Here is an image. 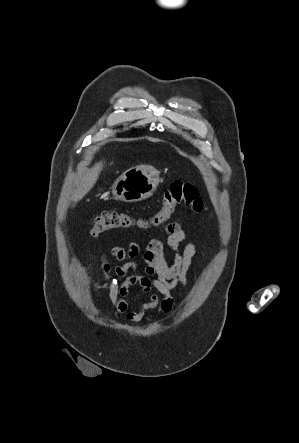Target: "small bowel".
<instances>
[{"label": "small bowel", "mask_w": 299, "mask_h": 443, "mask_svg": "<svg viewBox=\"0 0 299 443\" xmlns=\"http://www.w3.org/2000/svg\"><path fill=\"white\" fill-rule=\"evenodd\" d=\"M164 232L167 234V246L173 256L171 264L167 263L164 244L158 239H151L143 253L137 242H130L126 248L112 247L110 254L117 261H125L121 265L112 266L105 256L101 257V272L105 284L109 287L110 301L117 312L126 314L129 321L139 322L152 310L170 312L174 303L171 291L177 286L187 284L188 271L197 253V246L189 243L181 248V244L187 239V233L179 222L169 223ZM141 254L145 262L142 271L135 262ZM112 274L123 278V282H111ZM134 286H139L143 293L151 294L138 310H129V292Z\"/></svg>", "instance_id": "obj_1"}]
</instances>
